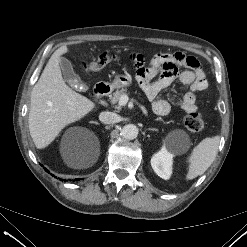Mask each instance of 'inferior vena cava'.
<instances>
[{"mask_svg": "<svg viewBox=\"0 0 247 247\" xmlns=\"http://www.w3.org/2000/svg\"><path fill=\"white\" fill-rule=\"evenodd\" d=\"M99 120L104 124H114L119 122L120 117L116 113L105 111L100 113Z\"/></svg>", "mask_w": 247, "mask_h": 247, "instance_id": "1", "label": "inferior vena cava"}]
</instances>
